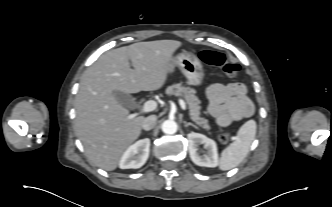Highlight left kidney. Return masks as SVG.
Masks as SVG:
<instances>
[{"label":"left kidney","instance_id":"1","mask_svg":"<svg viewBox=\"0 0 332 207\" xmlns=\"http://www.w3.org/2000/svg\"><path fill=\"white\" fill-rule=\"evenodd\" d=\"M188 137V149L191 160L198 166L216 167L218 166V152L217 145L214 140L199 133H190ZM203 144L207 153L201 155L198 152V147Z\"/></svg>","mask_w":332,"mask_h":207}]
</instances>
